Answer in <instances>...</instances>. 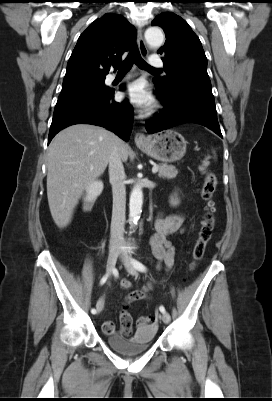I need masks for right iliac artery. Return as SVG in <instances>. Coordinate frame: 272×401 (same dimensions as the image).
I'll return each instance as SVG.
<instances>
[{
	"label": "right iliac artery",
	"mask_w": 272,
	"mask_h": 401,
	"mask_svg": "<svg viewBox=\"0 0 272 401\" xmlns=\"http://www.w3.org/2000/svg\"><path fill=\"white\" fill-rule=\"evenodd\" d=\"M107 278H108V275H104V276L102 277V279L100 280V284L103 285V284L106 282ZM99 302H103V300L100 299ZM91 313L95 314V313H96V309L93 308V309L91 310Z\"/></svg>",
	"instance_id": "82829eb1"
}]
</instances>
